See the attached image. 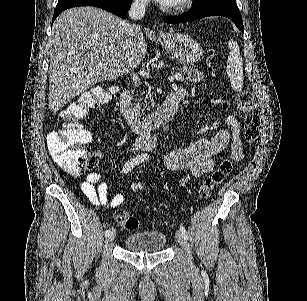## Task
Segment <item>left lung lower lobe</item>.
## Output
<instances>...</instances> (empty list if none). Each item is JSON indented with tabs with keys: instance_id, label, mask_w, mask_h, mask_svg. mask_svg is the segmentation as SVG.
Listing matches in <instances>:
<instances>
[{
	"instance_id": "1",
	"label": "left lung lower lobe",
	"mask_w": 307,
	"mask_h": 301,
	"mask_svg": "<svg viewBox=\"0 0 307 301\" xmlns=\"http://www.w3.org/2000/svg\"><path fill=\"white\" fill-rule=\"evenodd\" d=\"M207 16H224L232 20L240 31L243 32L242 16L238 8L224 5H208L204 7L192 8L187 13L179 16L164 18V22L178 24L201 19Z\"/></svg>"
}]
</instances>
